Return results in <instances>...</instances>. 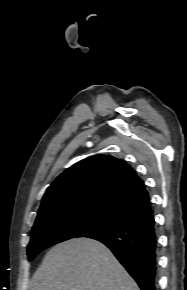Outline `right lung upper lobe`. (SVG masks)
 Returning a JSON list of instances; mask_svg holds the SVG:
<instances>
[{
	"mask_svg": "<svg viewBox=\"0 0 187 290\" xmlns=\"http://www.w3.org/2000/svg\"><path fill=\"white\" fill-rule=\"evenodd\" d=\"M81 206L111 208L128 221L153 213L143 181L123 160L107 155L88 157L58 176L37 218Z\"/></svg>",
	"mask_w": 187,
	"mask_h": 290,
	"instance_id": "cb5924a9",
	"label": "right lung upper lobe"
}]
</instances>
